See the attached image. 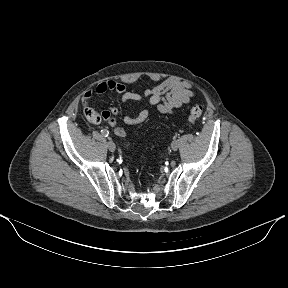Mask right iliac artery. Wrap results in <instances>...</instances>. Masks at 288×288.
<instances>
[{
    "label": "right iliac artery",
    "instance_id": "1",
    "mask_svg": "<svg viewBox=\"0 0 288 288\" xmlns=\"http://www.w3.org/2000/svg\"><path fill=\"white\" fill-rule=\"evenodd\" d=\"M101 133L104 137H108V135H109V131L106 129L101 130Z\"/></svg>",
    "mask_w": 288,
    "mask_h": 288
}]
</instances>
